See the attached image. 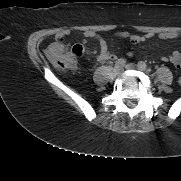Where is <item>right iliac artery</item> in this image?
I'll return each mask as SVG.
<instances>
[{
	"mask_svg": "<svg viewBox=\"0 0 181 181\" xmlns=\"http://www.w3.org/2000/svg\"><path fill=\"white\" fill-rule=\"evenodd\" d=\"M125 63H126V60L121 58L116 61L115 66H124Z\"/></svg>",
	"mask_w": 181,
	"mask_h": 181,
	"instance_id": "right-iliac-artery-1",
	"label": "right iliac artery"
}]
</instances>
